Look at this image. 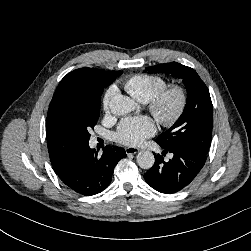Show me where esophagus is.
<instances>
[{"label":"esophagus","instance_id":"obj_1","mask_svg":"<svg viewBox=\"0 0 251 251\" xmlns=\"http://www.w3.org/2000/svg\"><path fill=\"white\" fill-rule=\"evenodd\" d=\"M125 151H126L127 155H130V154H136V153H138L140 151V149L136 148V147H127L125 149Z\"/></svg>","mask_w":251,"mask_h":251}]
</instances>
